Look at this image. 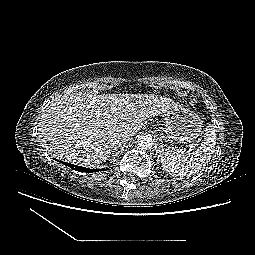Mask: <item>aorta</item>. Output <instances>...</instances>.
Here are the masks:
<instances>
[{
    "mask_svg": "<svg viewBox=\"0 0 255 255\" xmlns=\"http://www.w3.org/2000/svg\"><path fill=\"white\" fill-rule=\"evenodd\" d=\"M138 147L142 150H149L153 147V139L150 136L143 135L137 139Z\"/></svg>",
    "mask_w": 255,
    "mask_h": 255,
    "instance_id": "762f6f07",
    "label": "aorta"
}]
</instances>
